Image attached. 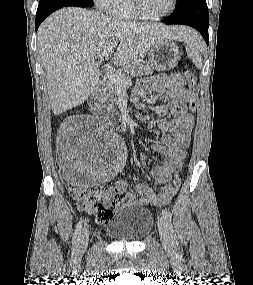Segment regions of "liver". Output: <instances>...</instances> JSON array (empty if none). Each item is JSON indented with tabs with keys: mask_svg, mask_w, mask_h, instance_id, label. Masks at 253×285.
Listing matches in <instances>:
<instances>
[{
	"mask_svg": "<svg viewBox=\"0 0 253 285\" xmlns=\"http://www.w3.org/2000/svg\"><path fill=\"white\" fill-rule=\"evenodd\" d=\"M192 32L160 23L119 21L78 7L54 12L37 33L53 113L59 115L88 99L99 80L95 59H104L102 53L113 43H119L114 63L122 66L137 61L160 41H185Z\"/></svg>",
	"mask_w": 253,
	"mask_h": 285,
	"instance_id": "obj_1",
	"label": "liver"
}]
</instances>
